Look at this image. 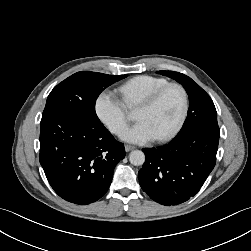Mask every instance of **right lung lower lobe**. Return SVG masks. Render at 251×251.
Here are the masks:
<instances>
[{
    "label": "right lung lower lobe",
    "mask_w": 251,
    "mask_h": 251,
    "mask_svg": "<svg viewBox=\"0 0 251 251\" xmlns=\"http://www.w3.org/2000/svg\"><path fill=\"white\" fill-rule=\"evenodd\" d=\"M124 157V145L100 121L75 113L41 119L40 164L66 201L87 205L101 198Z\"/></svg>",
    "instance_id": "98d812e1"
}]
</instances>
